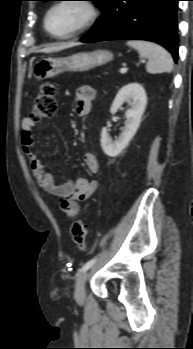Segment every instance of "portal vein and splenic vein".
Returning <instances> with one entry per match:
<instances>
[{
  "label": "portal vein and splenic vein",
  "mask_w": 193,
  "mask_h": 349,
  "mask_svg": "<svg viewBox=\"0 0 193 349\" xmlns=\"http://www.w3.org/2000/svg\"><path fill=\"white\" fill-rule=\"evenodd\" d=\"M119 72L120 73H126L127 72V68H125V67L120 68Z\"/></svg>",
  "instance_id": "1"
}]
</instances>
